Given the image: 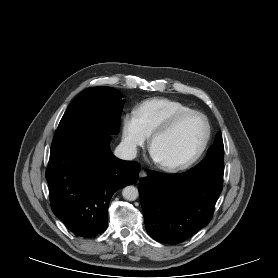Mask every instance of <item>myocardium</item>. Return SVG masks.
<instances>
[{
	"label": "myocardium",
	"mask_w": 278,
	"mask_h": 278,
	"mask_svg": "<svg viewBox=\"0 0 278 278\" xmlns=\"http://www.w3.org/2000/svg\"><path fill=\"white\" fill-rule=\"evenodd\" d=\"M190 115L200 116L205 123V135L202 140V143L199 146V148L197 149V151L192 156H190L189 158H187L183 161L175 162V163H165V162H161V161H158L157 159H155L157 165L165 171L177 172V171H181V170L189 168L190 166L195 164L201 158V156L204 154V152L209 144V141L211 138V124H210L208 117L201 111L189 109V110L177 113L176 115L171 117L167 122H165L164 124H162L157 129L154 130V132L151 135V139H150L151 153H152L153 145L157 141V139H159L160 137L171 132L179 124V122L182 119H184L185 117L190 116Z\"/></svg>",
	"instance_id": "myocardium-1"
}]
</instances>
